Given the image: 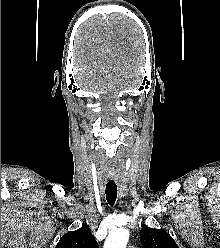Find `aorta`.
Segmentation results:
<instances>
[{
    "label": "aorta",
    "instance_id": "obj_1",
    "mask_svg": "<svg viewBox=\"0 0 220 248\" xmlns=\"http://www.w3.org/2000/svg\"><path fill=\"white\" fill-rule=\"evenodd\" d=\"M129 230L120 228L110 233L104 243V248H126L129 240Z\"/></svg>",
    "mask_w": 220,
    "mask_h": 248
}]
</instances>
